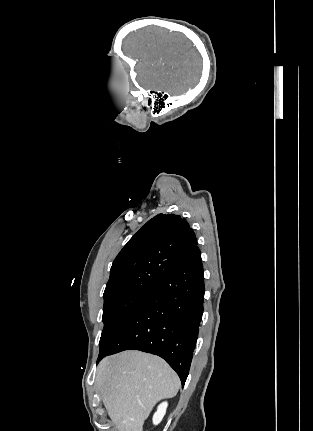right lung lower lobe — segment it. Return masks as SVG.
I'll list each match as a JSON object with an SVG mask.
<instances>
[{
	"label": "right lung lower lobe",
	"mask_w": 313,
	"mask_h": 431,
	"mask_svg": "<svg viewBox=\"0 0 313 431\" xmlns=\"http://www.w3.org/2000/svg\"><path fill=\"white\" fill-rule=\"evenodd\" d=\"M204 291L202 260L196 247L121 324L100 349L97 362L124 350H141L166 360L184 386L198 338Z\"/></svg>",
	"instance_id": "obj_1"
}]
</instances>
